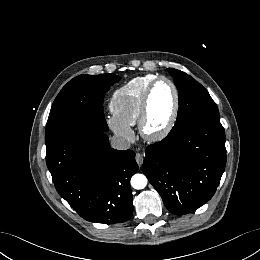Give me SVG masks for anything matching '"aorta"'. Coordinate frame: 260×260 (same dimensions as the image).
Masks as SVG:
<instances>
[{
    "mask_svg": "<svg viewBox=\"0 0 260 260\" xmlns=\"http://www.w3.org/2000/svg\"><path fill=\"white\" fill-rule=\"evenodd\" d=\"M147 178L145 175L143 174H135L132 176L131 178V186L134 188V189H143L146 187L147 185Z\"/></svg>",
    "mask_w": 260,
    "mask_h": 260,
    "instance_id": "762f6f07",
    "label": "aorta"
}]
</instances>
